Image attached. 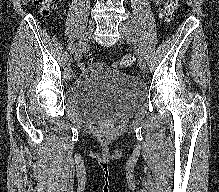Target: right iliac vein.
I'll use <instances>...</instances> for the list:
<instances>
[{
	"label": "right iliac vein",
	"instance_id": "right-iliac-vein-1",
	"mask_svg": "<svg viewBox=\"0 0 219 192\" xmlns=\"http://www.w3.org/2000/svg\"><path fill=\"white\" fill-rule=\"evenodd\" d=\"M93 30H94V23H90L88 27V31L81 38L80 44L75 53V59H79L84 53V51L86 50L88 42L91 38V34L93 33Z\"/></svg>",
	"mask_w": 219,
	"mask_h": 192
}]
</instances>
